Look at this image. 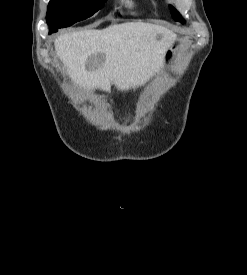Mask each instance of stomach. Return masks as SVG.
Returning <instances> with one entry per match:
<instances>
[{
	"instance_id": "stomach-1",
	"label": "stomach",
	"mask_w": 247,
	"mask_h": 275,
	"mask_svg": "<svg viewBox=\"0 0 247 275\" xmlns=\"http://www.w3.org/2000/svg\"><path fill=\"white\" fill-rule=\"evenodd\" d=\"M182 45V42L180 39H174L170 45V47L167 49L164 58H163V65L165 67H169L175 60L176 52L178 48H180Z\"/></svg>"
}]
</instances>
